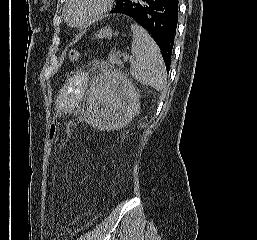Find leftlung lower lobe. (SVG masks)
<instances>
[{"label": "left lung lower lobe", "mask_w": 257, "mask_h": 240, "mask_svg": "<svg viewBox=\"0 0 257 240\" xmlns=\"http://www.w3.org/2000/svg\"><path fill=\"white\" fill-rule=\"evenodd\" d=\"M111 13L128 16L150 33L170 69L178 19V0H121Z\"/></svg>", "instance_id": "1"}]
</instances>
